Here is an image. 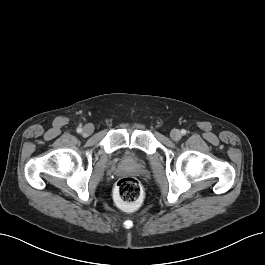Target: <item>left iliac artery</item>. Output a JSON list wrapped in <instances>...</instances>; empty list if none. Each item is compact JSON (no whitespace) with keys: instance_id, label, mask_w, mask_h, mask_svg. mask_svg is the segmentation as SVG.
I'll return each mask as SVG.
<instances>
[{"instance_id":"left-iliac-artery-1","label":"left iliac artery","mask_w":265,"mask_h":265,"mask_svg":"<svg viewBox=\"0 0 265 265\" xmlns=\"http://www.w3.org/2000/svg\"><path fill=\"white\" fill-rule=\"evenodd\" d=\"M181 133H182L183 135H185V134H186V130H185V129H182V130H181Z\"/></svg>"}]
</instances>
